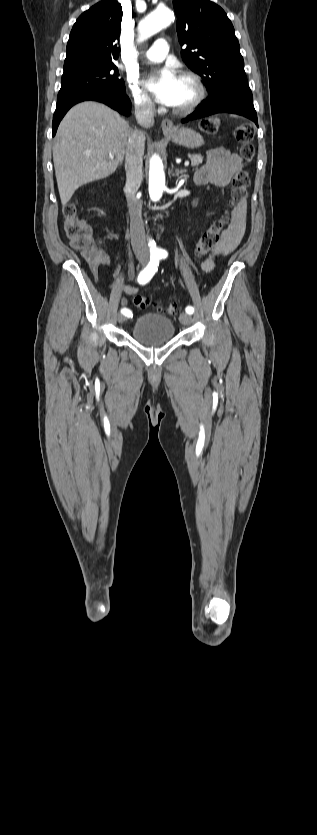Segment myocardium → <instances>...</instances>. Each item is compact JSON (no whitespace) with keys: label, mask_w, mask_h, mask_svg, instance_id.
<instances>
[{"label":"myocardium","mask_w":317,"mask_h":835,"mask_svg":"<svg viewBox=\"0 0 317 835\" xmlns=\"http://www.w3.org/2000/svg\"><path fill=\"white\" fill-rule=\"evenodd\" d=\"M180 78L192 84L194 96L186 105L173 107V112L177 115H187L192 113L202 103L206 96V88L202 79L194 72L184 71L181 73Z\"/></svg>","instance_id":"f54148a6"}]
</instances>
